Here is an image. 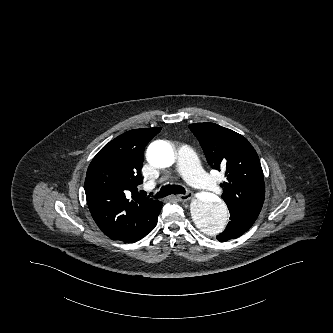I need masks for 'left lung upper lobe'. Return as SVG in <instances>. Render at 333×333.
<instances>
[{
  "label": "left lung upper lobe",
  "mask_w": 333,
  "mask_h": 333,
  "mask_svg": "<svg viewBox=\"0 0 333 333\" xmlns=\"http://www.w3.org/2000/svg\"><path fill=\"white\" fill-rule=\"evenodd\" d=\"M212 168L225 172L222 198L229 211L257 218L265 198L258 155L242 135L215 123L189 125Z\"/></svg>",
  "instance_id": "1"
}]
</instances>
